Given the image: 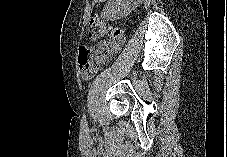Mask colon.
Returning <instances> with one entry per match:
<instances>
[{"label": "colon", "instance_id": "1", "mask_svg": "<svg viewBox=\"0 0 227 157\" xmlns=\"http://www.w3.org/2000/svg\"><path fill=\"white\" fill-rule=\"evenodd\" d=\"M88 37L98 40L90 46L79 49L78 62L82 78L90 79L96 68L111 59L124 43V32L100 18H94L88 25Z\"/></svg>", "mask_w": 227, "mask_h": 157}]
</instances>
